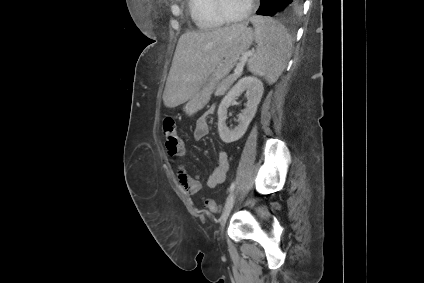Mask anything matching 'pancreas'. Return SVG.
I'll list each match as a JSON object with an SVG mask.
<instances>
[{
    "mask_svg": "<svg viewBox=\"0 0 424 283\" xmlns=\"http://www.w3.org/2000/svg\"><path fill=\"white\" fill-rule=\"evenodd\" d=\"M239 77L238 75H230L228 77H226L225 79L222 80V82H220L216 88L215 91V96H222L225 94V92L230 88V86L237 80V78Z\"/></svg>",
    "mask_w": 424,
    "mask_h": 283,
    "instance_id": "pancreas-1",
    "label": "pancreas"
}]
</instances>
